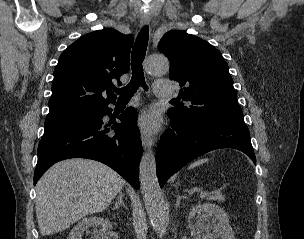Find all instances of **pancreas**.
<instances>
[{"instance_id":"obj_1","label":"pancreas","mask_w":304,"mask_h":239,"mask_svg":"<svg viewBox=\"0 0 304 239\" xmlns=\"http://www.w3.org/2000/svg\"><path fill=\"white\" fill-rule=\"evenodd\" d=\"M211 199L214 200V201H221L222 200L221 196H212Z\"/></svg>"}]
</instances>
